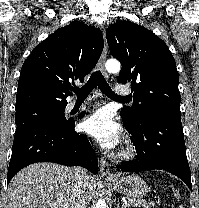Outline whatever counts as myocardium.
<instances>
[{
    "label": "myocardium",
    "mask_w": 199,
    "mask_h": 208,
    "mask_svg": "<svg viewBox=\"0 0 199 208\" xmlns=\"http://www.w3.org/2000/svg\"><path fill=\"white\" fill-rule=\"evenodd\" d=\"M136 154L134 146L126 142L118 150L113 153V158L116 160L124 161L132 159Z\"/></svg>",
    "instance_id": "obj_1"
}]
</instances>
